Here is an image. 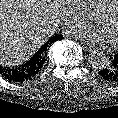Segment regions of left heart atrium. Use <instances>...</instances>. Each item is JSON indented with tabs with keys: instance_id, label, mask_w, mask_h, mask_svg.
Segmentation results:
<instances>
[{
	"instance_id": "obj_1",
	"label": "left heart atrium",
	"mask_w": 118,
	"mask_h": 118,
	"mask_svg": "<svg viewBox=\"0 0 118 118\" xmlns=\"http://www.w3.org/2000/svg\"><path fill=\"white\" fill-rule=\"evenodd\" d=\"M79 38L85 39L92 43H101L105 41V34L101 30L96 29H81L76 32Z\"/></svg>"
}]
</instances>
